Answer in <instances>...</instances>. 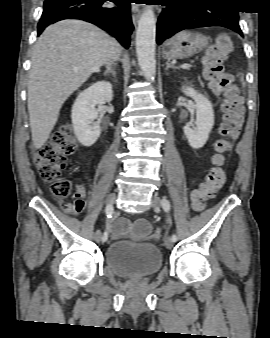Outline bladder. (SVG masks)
Instances as JSON below:
<instances>
[{"label": "bladder", "mask_w": 270, "mask_h": 338, "mask_svg": "<svg viewBox=\"0 0 270 338\" xmlns=\"http://www.w3.org/2000/svg\"><path fill=\"white\" fill-rule=\"evenodd\" d=\"M162 264V252L151 244L113 242L105 249V265L124 279L151 277L161 269Z\"/></svg>", "instance_id": "obj_1"}]
</instances>
